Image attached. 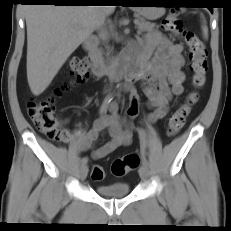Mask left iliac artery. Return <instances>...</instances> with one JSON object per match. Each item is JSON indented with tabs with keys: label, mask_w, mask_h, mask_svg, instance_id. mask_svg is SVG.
<instances>
[{
	"label": "left iliac artery",
	"mask_w": 231,
	"mask_h": 231,
	"mask_svg": "<svg viewBox=\"0 0 231 231\" xmlns=\"http://www.w3.org/2000/svg\"><path fill=\"white\" fill-rule=\"evenodd\" d=\"M138 131H139L140 140H141L142 164L148 166V160L145 156V150H144L145 132L142 129H139Z\"/></svg>",
	"instance_id": "44dca946"
}]
</instances>
